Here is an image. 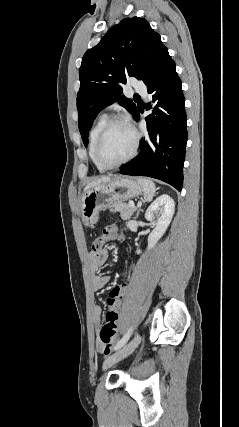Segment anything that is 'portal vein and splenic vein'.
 Returning <instances> with one entry per match:
<instances>
[{
  "mask_svg": "<svg viewBox=\"0 0 239 427\" xmlns=\"http://www.w3.org/2000/svg\"><path fill=\"white\" fill-rule=\"evenodd\" d=\"M129 206H130L131 208H135V205H134V203H133V202H129Z\"/></svg>",
  "mask_w": 239,
  "mask_h": 427,
  "instance_id": "1",
  "label": "portal vein and splenic vein"
}]
</instances>
